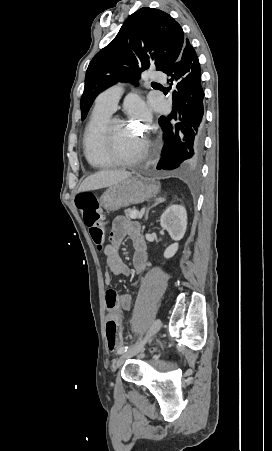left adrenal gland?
<instances>
[{
  "label": "left adrenal gland",
  "mask_w": 272,
  "mask_h": 451,
  "mask_svg": "<svg viewBox=\"0 0 272 451\" xmlns=\"http://www.w3.org/2000/svg\"><path fill=\"white\" fill-rule=\"evenodd\" d=\"M161 202H165V198H155V204H153V206H150V208L146 210L145 220H148L149 210H151V208H154V206H157V204H161Z\"/></svg>",
  "instance_id": "left-adrenal-gland-1"
}]
</instances>
